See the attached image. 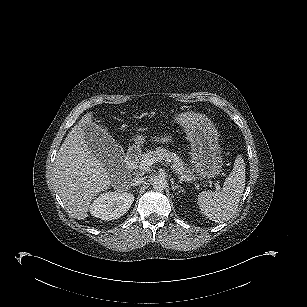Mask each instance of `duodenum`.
Masks as SVG:
<instances>
[{
	"label": "duodenum",
	"mask_w": 307,
	"mask_h": 307,
	"mask_svg": "<svg viewBox=\"0 0 307 307\" xmlns=\"http://www.w3.org/2000/svg\"><path fill=\"white\" fill-rule=\"evenodd\" d=\"M136 157V153L134 151H130L127 155V161L132 162Z\"/></svg>",
	"instance_id": "1"
}]
</instances>
